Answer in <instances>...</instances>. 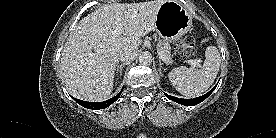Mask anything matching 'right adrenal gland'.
I'll return each mask as SVG.
<instances>
[{"instance_id": "2a0ac1e0", "label": "right adrenal gland", "mask_w": 276, "mask_h": 138, "mask_svg": "<svg viewBox=\"0 0 276 138\" xmlns=\"http://www.w3.org/2000/svg\"><path fill=\"white\" fill-rule=\"evenodd\" d=\"M129 63H123V64H121V65H118L117 66V73H118V71L120 72V75L122 74V69H123V67H125L126 65H128Z\"/></svg>"}]
</instances>
